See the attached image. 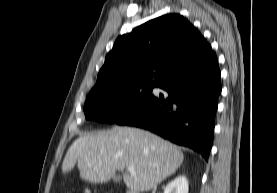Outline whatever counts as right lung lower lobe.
I'll use <instances>...</instances> for the list:
<instances>
[{
    "instance_id": "1",
    "label": "right lung lower lobe",
    "mask_w": 277,
    "mask_h": 193,
    "mask_svg": "<svg viewBox=\"0 0 277 193\" xmlns=\"http://www.w3.org/2000/svg\"><path fill=\"white\" fill-rule=\"evenodd\" d=\"M221 72L212 52L196 65L169 77L158 87L168 96L152 97L117 124L148 129L208 160L215 127Z\"/></svg>"
}]
</instances>
